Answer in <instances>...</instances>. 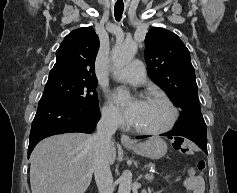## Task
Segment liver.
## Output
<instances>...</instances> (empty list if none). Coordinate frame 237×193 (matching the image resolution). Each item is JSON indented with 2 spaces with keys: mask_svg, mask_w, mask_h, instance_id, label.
I'll list each match as a JSON object with an SVG mask.
<instances>
[{
  "mask_svg": "<svg viewBox=\"0 0 237 193\" xmlns=\"http://www.w3.org/2000/svg\"><path fill=\"white\" fill-rule=\"evenodd\" d=\"M116 160L112 142L109 164ZM93 139L83 133H65L42 140L31 154L32 193H85L93 174Z\"/></svg>",
  "mask_w": 237,
  "mask_h": 193,
  "instance_id": "obj_1",
  "label": "liver"
}]
</instances>
